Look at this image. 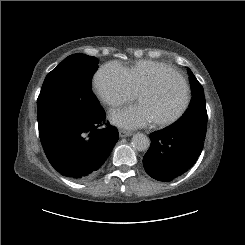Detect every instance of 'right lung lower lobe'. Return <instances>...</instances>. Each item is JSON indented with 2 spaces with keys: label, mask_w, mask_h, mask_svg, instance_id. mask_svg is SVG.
I'll return each instance as SVG.
<instances>
[{
  "label": "right lung lower lobe",
  "mask_w": 245,
  "mask_h": 245,
  "mask_svg": "<svg viewBox=\"0 0 245 245\" xmlns=\"http://www.w3.org/2000/svg\"><path fill=\"white\" fill-rule=\"evenodd\" d=\"M105 118V113L101 111L89 120L56 126L40 135L51 165L62 175L76 181L96 177L118 141L115 127L107 125L103 129L98 128Z\"/></svg>",
  "instance_id": "98d812e1"
}]
</instances>
